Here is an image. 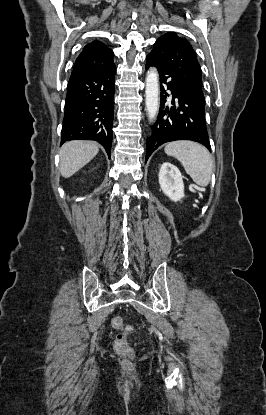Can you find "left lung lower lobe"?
Segmentation results:
<instances>
[{"mask_svg":"<svg viewBox=\"0 0 266 415\" xmlns=\"http://www.w3.org/2000/svg\"><path fill=\"white\" fill-rule=\"evenodd\" d=\"M154 66L160 76L161 101L157 121L147 139L146 160L162 144L175 140H192L211 150L206 128L205 107L196 102L150 53L146 57V69ZM172 93V99L169 94Z\"/></svg>","mask_w":266,"mask_h":415,"instance_id":"left-lung-lower-lobe-1","label":"left lung lower lobe"}]
</instances>
